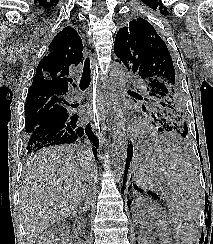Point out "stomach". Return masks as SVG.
<instances>
[{
    "instance_id": "stomach-1",
    "label": "stomach",
    "mask_w": 213,
    "mask_h": 244,
    "mask_svg": "<svg viewBox=\"0 0 213 244\" xmlns=\"http://www.w3.org/2000/svg\"><path fill=\"white\" fill-rule=\"evenodd\" d=\"M138 153L146 155L133 161L134 181L140 189L158 193L164 178L156 170L155 149H139Z\"/></svg>"
}]
</instances>
